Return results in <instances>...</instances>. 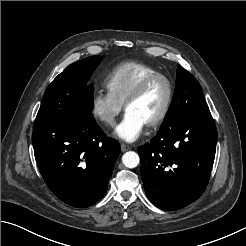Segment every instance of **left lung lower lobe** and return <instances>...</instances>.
Masks as SVG:
<instances>
[{
	"mask_svg": "<svg viewBox=\"0 0 246 246\" xmlns=\"http://www.w3.org/2000/svg\"><path fill=\"white\" fill-rule=\"evenodd\" d=\"M217 129L209 110L191 113L160 128L139 147L141 177L149 200L174 211L197 200L208 184Z\"/></svg>",
	"mask_w": 246,
	"mask_h": 246,
	"instance_id": "obj_1",
	"label": "left lung lower lobe"
}]
</instances>
